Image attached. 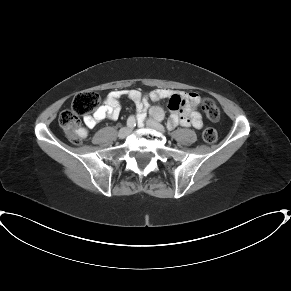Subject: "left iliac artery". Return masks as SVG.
<instances>
[{
	"label": "left iliac artery",
	"instance_id": "left-iliac-artery-1",
	"mask_svg": "<svg viewBox=\"0 0 291 291\" xmlns=\"http://www.w3.org/2000/svg\"><path fill=\"white\" fill-rule=\"evenodd\" d=\"M156 120L161 121L162 120L161 115H157Z\"/></svg>",
	"mask_w": 291,
	"mask_h": 291
}]
</instances>
